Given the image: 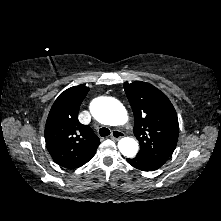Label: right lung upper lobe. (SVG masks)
<instances>
[{
  "mask_svg": "<svg viewBox=\"0 0 221 221\" xmlns=\"http://www.w3.org/2000/svg\"><path fill=\"white\" fill-rule=\"evenodd\" d=\"M89 88L74 86L55 100L45 126V141L52 159L73 169L88 162L95 154L99 138L88 125L78 121L79 107Z\"/></svg>",
  "mask_w": 221,
  "mask_h": 221,
  "instance_id": "obj_1",
  "label": "right lung upper lobe"
}]
</instances>
